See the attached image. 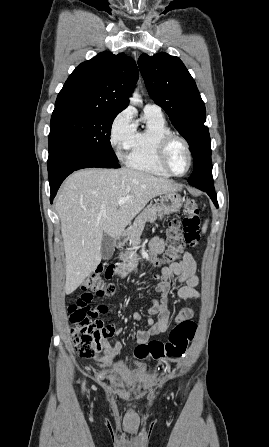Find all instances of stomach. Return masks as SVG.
Here are the masks:
<instances>
[{
    "label": "stomach",
    "instance_id": "stomach-1",
    "mask_svg": "<svg viewBox=\"0 0 269 447\" xmlns=\"http://www.w3.org/2000/svg\"><path fill=\"white\" fill-rule=\"evenodd\" d=\"M183 198L175 192H168V194H160V208L162 210L160 218L164 214H173V212H179L180 208L183 206ZM126 239H122L119 243V247L124 245Z\"/></svg>",
    "mask_w": 269,
    "mask_h": 447
}]
</instances>
